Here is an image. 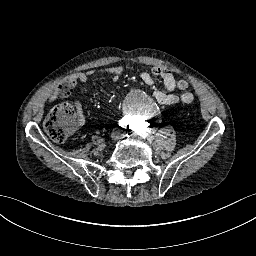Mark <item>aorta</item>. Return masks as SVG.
Returning a JSON list of instances; mask_svg holds the SVG:
<instances>
[{"instance_id":"1","label":"aorta","mask_w":256,"mask_h":256,"mask_svg":"<svg viewBox=\"0 0 256 256\" xmlns=\"http://www.w3.org/2000/svg\"><path fill=\"white\" fill-rule=\"evenodd\" d=\"M124 109L126 113L140 121L153 120L159 111L157 101L144 89H133L124 98Z\"/></svg>"}]
</instances>
